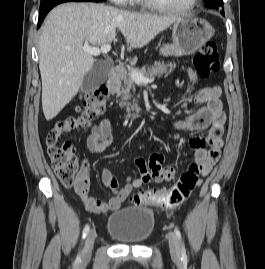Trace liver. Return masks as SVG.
<instances>
[{
  "instance_id": "liver-1",
  "label": "liver",
  "mask_w": 265,
  "mask_h": 269,
  "mask_svg": "<svg viewBox=\"0 0 265 269\" xmlns=\"http://www.w3.org/2000/svg\"><path fill=\"white\" fill-rule=\"evenodd\" d=\"M179 18L119 10L96 3H64L50 11L39 38L42 108L52 120L77 94L94 58L83 46H102L118 32L127 50L142 48Z\"/></svg>"
}]
</instances>
